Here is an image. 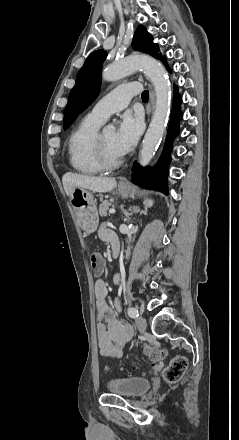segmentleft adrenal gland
Listing matches in <instances>:
<instances>
[{"label":"left adrenal gland","instance_id":"left-adrenal-gland-1","mask_svg":"<svg viewBox=\"0 0 239 440\" xmlns=\"http://www.w3.org/2000/svg\"><path fill=\"white\" fill-rule=\"evenodd\" d=\"M145 206L146 208H149V206H152V202H146Z\"/></svg>","mask_w":239,"mask_h":440}]
</instances>
